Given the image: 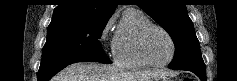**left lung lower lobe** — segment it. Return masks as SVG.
I'll use <instances>...</instances> for the list:
<instances>
[{
  "label": "left lung lower lobe",
  "mask_w": 237,
  "mask_h": 81,
  "mask_svg": "<svg viewBox=\"0 0 237 81\" xmlns=\"http://www.w3.org/2000/svg\"><path fill=\"white\" fill-rule=\"evenodd\" d=\"M196 74L201 81H206V70L205 71H196V70H188Z\"/></svg>",
  "instance_id": "obj_1"
}]
</instances>
